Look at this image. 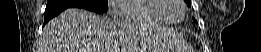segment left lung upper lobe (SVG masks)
<instances>
[{"instance_id": "1", "label": "left lung upper lobe", "mask_w": 261, "mask_h": 52, "mask_svg": "<svg viewBox=\"0 0 261 52\" xmlns=\"http://www.w3.org/2000/svg\"><path fill=\"white\" fill-rule=\"evenodd\" d=\"M186 3H187V5L188 6H190L191 5V1L190 0H184ZM194 21L196 22V20L194 19Z\"/></svg>"}]
</instances>
